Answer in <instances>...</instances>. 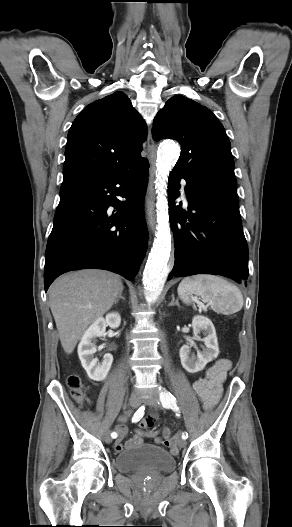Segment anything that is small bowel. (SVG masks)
Here are the masks:
<instances>
[{
    "label": "small bowel",
    "mask_w": 292,
    "mask_h": 527,
    "mask_svg": "<svg viewBox=\"0 0 292 527\" xmlns=\"http://www.w3.org/2000/svg\"><path fill=\"white\" fill-rule=\"evenodd\" d=\"M231 363L229 360L223 359L216 362L207 370L206 376L200 378L193 383V389L207 409L215 406L222 393V385L226 378L227 371L230 369ZM125 420V418L123 419ZM119 439L114 444V449L120 452L124 449L122 438L125 436L127 429L125 426L118 427ZM171 429L168 426L163 427L159 436L158 431L151 429L147 431L137 430L134 436L126 443V447L136 446L142 443L143 437L154 438L157 444L165 443L171 448V451L176 454L177 438L170 434Z\"/></svg>",
    "instance_id": "obj_1"
}]
</instances>
